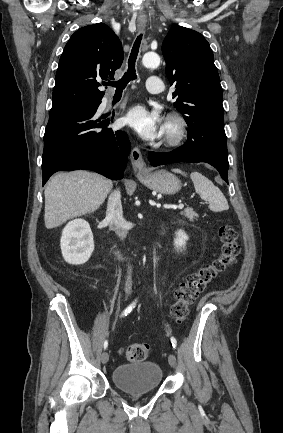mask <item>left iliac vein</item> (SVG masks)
I'll use <instances>...</instances> for the list:
<instances>
[{
  "instance_id": "obj_1",
  "label": "left iliac vein",
  "mask_w": 283,
  "mask_h": 433,
  "mask_svg": "<svg viewBox=\"0 0 283 433\" xmlns=\"http://www.w3.org/2000/svg\"><path fill=\"white\" fill-rule=\"evenodd\" d=\"M168 362L172 367H176L177 360L174 354L168 356Z\"/></svg>"
}]
</instances>
